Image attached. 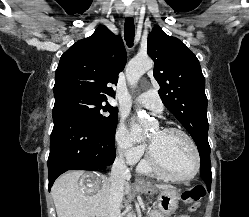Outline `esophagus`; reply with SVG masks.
Segmentation results:
<instances>
[{
  "mask_svg": "<svg viewBox=\"0 0 249 217\" xmlns=\"http://www.w3.org/2000/svg\"><path fill=\"white\" fill-rule=\"evenodd\" d=\"M134 15V10H133V8H127L126 9V11H125V16L127 17V18H130V17H132ZM135 184L136 185H139V186H142V185H145V181L143 180V179H141V178H136L135 179Z\"/></svg>",
  "mask_w": 249,
  "mask_h": 217,
  "instance_id": "1",
  "label": "esophagus"
}]
</instances>
